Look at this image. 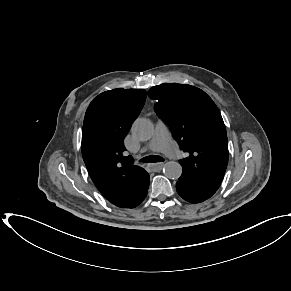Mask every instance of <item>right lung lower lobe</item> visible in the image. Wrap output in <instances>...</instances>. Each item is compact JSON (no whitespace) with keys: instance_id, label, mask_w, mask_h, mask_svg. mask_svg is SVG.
I'll use <instances>...</instances> for the list:
<instances>
[{"instance_id":"obj_1","label":"right lung lower lobe","mask_w":291,"mask_h":291,"mask_svg":"<svg viewBox=\"0 0 291 291\" xmlns=\"http://www.w3.org/2000/svg\"><path fill=\"white\" fill-rule=\"evenodd\" d=\"M148 187H149V180H148V184L143 188L140 197H138L137 199H135L129 203H123V202L117 201V202L112 203V204H114L118 207H121V208H134V207L138 206L144 200V198L147 195Z\"/></svg>"}]
</instances>
